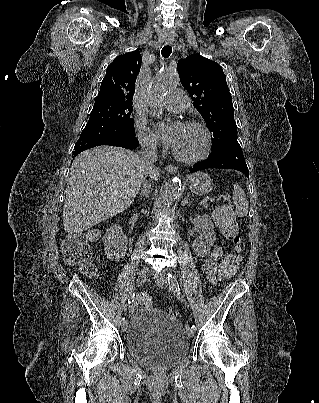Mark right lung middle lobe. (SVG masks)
Segmentation results:
<instances>
[{
  "mask_svg": "<svg viewBox=\"0 0 319 403\" xmlns=\"http://www.w3.org/2000/svg\"><path fill=\"white\" fill-rule=\"evenodd\" d=\"M133 106L109 102H95L86 127L98 125H120L134 131L133 119L130 118Z\"/></svg>",
  "mask_w": 319,
  "mask_h": 403,
  "instance_id": "obj_1",
  "label": "right lung middle lobe"
}]
</instances>
